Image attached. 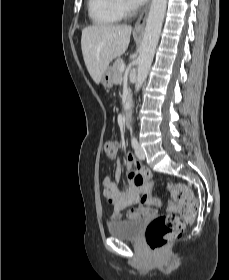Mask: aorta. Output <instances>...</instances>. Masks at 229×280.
<instances>
[{
	"label": "aorta",
	"mask_w": 229,
	"mask_h": 280,
	"mask_svg": "<svg viewBox=\"0 0 229 280\" xmlns=\"http://www.w3.org/2000/svg\"><path fill=\"white\" fill-rule=\"evenodd\" d=\"M167 0H152L144 37L138 57L135 90L138 91L147 78L159 41Z\"/></svg>",
	"instance_id": "1"
}]
</instances>
